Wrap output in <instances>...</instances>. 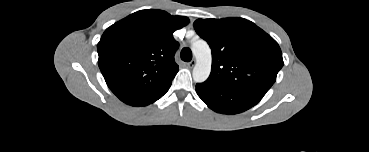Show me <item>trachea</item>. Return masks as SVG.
<instances>
[{"label": "trachea", "mask_w": 369, "mask_h": 152, "mask_svg": "<svg viewBox=\"0 0 369 152\" xmlns=\"http://www.w3.org/2000/svg\"><path fill=\"white\" fill-rule=\"evenodd\" d=\"M181 59L185 62H190L192 60V52L190 48H183L181 51Z\"/></svg>", "instance_id": "obj_1"}]
</instances>
